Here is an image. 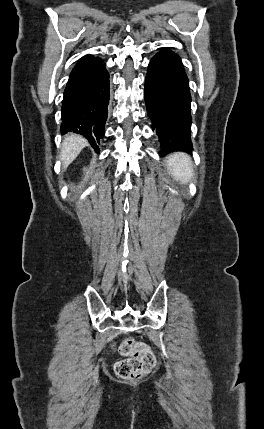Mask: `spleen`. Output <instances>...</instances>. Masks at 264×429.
<instances>
[{"instance_id": "obj_1", "label": "spleen", "mask_w": 264, "mask_h": 429, "mask_svg": "<svg viewBox=\"0 0 264 429\" xmlns=\"http://www.w3.org/2000/svg\"><path fill=\"white\" fill-rule=\"evenodd\" d=\"M166 167L174 178L181 184L185 185L193 178V165L191 158L184 153L171 154L166 161Z\"/></svg>"}]
</instances>
